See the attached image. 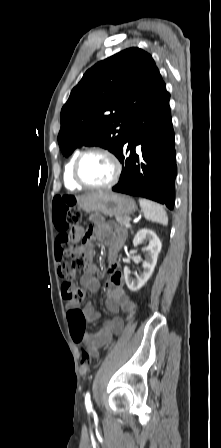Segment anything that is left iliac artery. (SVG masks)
<instances>
[{"label":"left iliac artery","mask_w":221,"mask_h":448,"mask_svg":"<svg viewBox=\"0 0 221 448\" xmlns=\"http://www.w3.org/2000/svg\"><path fill=\"white\" fill-rule=\"evenodd\" d=\"M85 405L87 410H91L92 409V404H91V400H90V394L87 393L85 396Z\"/></svg>","instance_id":"obj_1"}]
</instances>
